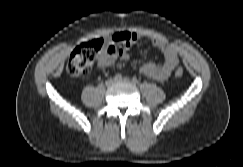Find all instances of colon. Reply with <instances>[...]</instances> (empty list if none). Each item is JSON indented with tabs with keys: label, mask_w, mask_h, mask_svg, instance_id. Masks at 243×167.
I'll return each mask as SVG.
<instances>
[{
	"label": "colon",
	"mask_w": 243,
	"mask_h": 167,
	"mask_svg": "<svg viewBox=\"0 0 243 167\" xmlns=\"http://www.w3.org/2000/svg\"><path fill=\"white\" fill-rule=\"evenodd\" d=\"M104 41L102 39H93L79 45L71 54L67 72L72 76H82L89 72L97 54L103 49ZM183 70L178 68L175 71L177 78L182 77Z\"/></svg>",
	"instance_id": "5ec220e1"
}]
</instances>
